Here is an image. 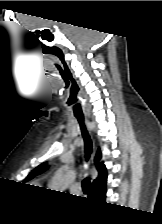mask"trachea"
<instances>
[{"label":"trachea","instance_id":"obj_1","mask_svg":"<svg viewBox=\"0 0 162 224\" xmlns=\"http://www.w3.org/2000/svg\"><path fill=\"white\" fill-rule=\"evenodd\" d=\"M77 121L79 122L80 128H81V132H82V136L84 138V142H85V159L86 161L89 160L91 152H92V141L90 139V136L86 130L85 124H84V118L82 116H76ZM90 185V180L89 178H85L82 181V189L84 193L88 192V188Z\"/></svg>","mask_w":162,"mask_h":224}]
</instances>
